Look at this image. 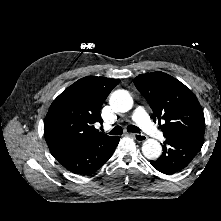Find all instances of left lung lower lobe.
Returning a JSON list of instances; mask_svg holds the SVG:
<instances>
[{"label": "left lung lower lobe", "mask_w": 221, "mask_h": 221, "mask_svg": "<svg viewBox=\"0 0 221 221\" xmlns=\"http://www.w3.org/2000/svg\"><path fill=\"white\" fill-rule=\"evenodd\" d=\"M204 137L167 139L163 145L161 157L150 161L158 171L171 175L183 170L200 151Z\"/></svg>", "instance_id": "obj_1"}]
</instances>
